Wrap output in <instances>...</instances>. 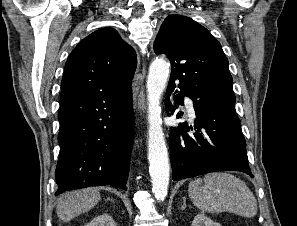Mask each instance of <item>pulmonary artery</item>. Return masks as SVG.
I'll return each instance as SVG.
<instances>
[{
    "label": "pulmonary artery",
    "instance_id": "obj_1",
    "mask_svg": "<svg viewBox=\"0 0 297 226\" xmlns=\"http://www.w3.org/2000/svg\"><path fill=\"white\" fill-rule=\"evenodd\" d=\"M185 103H186V106H187V108H188V110H189V113H190V115L192 116V117H195V111H194V108H193V103H192V101L190 100V99H186L185 100Z\"/></svg>",
    "mask_w": 297,
    "mask_h": 226
}]
</instances>
